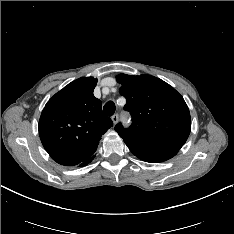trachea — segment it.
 Here are the masks:
<instances>
[{
  "label": "trachea",
  "instance_id": "trachea-1",
  "mask_svg": "<svg viewBox=\"0 0 234 234\" xmlns=\"http://www.w3.org/2000/svg\"><path fill=\"white\" fill-rule=\"evenodd\" d=\"M103 110L105 112V114H107L108 116H112L115 112V104L113 101H108L104 107Z\"/></svg>",
  "mask_w": 234,
  "mask_h": 234
}]
</instances>
